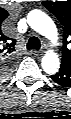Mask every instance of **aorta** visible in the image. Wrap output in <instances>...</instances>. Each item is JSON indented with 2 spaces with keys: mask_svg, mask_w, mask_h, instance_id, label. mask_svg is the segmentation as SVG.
<instances>
[{
  "mask_svg": "<svg viewBox=\"0 0 71 119\" xmlns=\"http://www.w3.org/2000/svg\"><path fill=\"white\" fill-rule=\"evenodd\" d=\"M29 26L45 36L50 40L57 38V28L53 20L44 12L40 10H33L27 16ZM41 66L43 70L48 74H55L60 67V61L58 55L55 53H47L42 58Z\"/></svg>",
  "mask_w": 71,
  "mask_h": 119,
  "instance_id": "1",
  "label": "aorta"
}]
</instances>
